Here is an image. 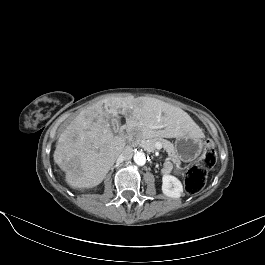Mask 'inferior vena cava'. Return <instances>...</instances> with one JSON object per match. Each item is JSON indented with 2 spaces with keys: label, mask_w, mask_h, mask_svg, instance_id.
Instances as JSON below:
<instances>
[{
  "label": "inferior vena cava",
  "mask_w": 265,
  "mask_h": 265,
  "mask_svg": "<svg viewBox=\"0 0 265 265\" xmlns=\"http://www.w3.org/2000/svg\"><path fill=\"white\" fill-rule=\"evenodd\" d=\"M133 156V150L130 147H125L119 156L121 160H129Z\"/></svg>",
  "instance_id": "inferior-vena-cava-1"
}]
</instances>
